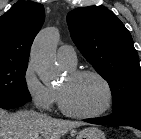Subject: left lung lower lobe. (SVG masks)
I'll return each mask as SVG.
<instances>
[{"instance_id":"left-lung-lower-lobe-1","label":"left lung lower lobe","mask_w":141,"mask_h":139,"mask_svg":"<svg viewBox=\"0 0 141 139\" xmlns=\"http://www.w3.org/2000/svg\"><path fill=\"white\" fill-rule=\"evenodd\" d=\"M85 122L102 125L131 126L141 130V107L103 118L85 119Z\"/></svg>"}]
</instances>
